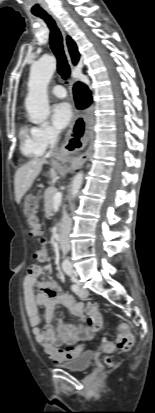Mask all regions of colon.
Segmentation results:
<instances>
[{
	"label": "colon",
	"mask_w": 155,
	"mask_h": 413,
	"mask_svg": "<svg viewBox=\"0 0 155 413\" xmlns=\"http://www.w3.org/2000/svg\"><path fill=\"white\" fill-rule=\"evenodd\" d=\"M23 205L25 206L26 217L28 220V225L30 229V234L38 239L42 244L45 241V233L41 223L37 219V212L35 206L39 204V199L35 192H26L22 200ZM34 257L40 261H43L47 257V251L44 247L35 251ZM98 304L96 302H90L87 307V311L92 314H99ZM118 337H117V346L121 351L128 352L131 350L134 342V337L129 330V327L126 323H120L118 326ZM104 349L110 350L111 347L107 344L103 345ZM107 364H112V360L109 357L105 358Z\"/></svg>",
	"instance_id": "obj_1"
}]
</instances>
